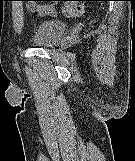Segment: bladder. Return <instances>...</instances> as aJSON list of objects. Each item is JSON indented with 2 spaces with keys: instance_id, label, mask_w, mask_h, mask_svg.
<instances>
[{
  "instance_id": "bladder-1",
  "label": "bladder",
  "mask_w": 135,
  "mask_h": 161,
  "mask_svg": "<svg viewBox=\"0 0 135 161\" xmlns=\"http://www.w3.org/2000/svg\"><path fill=\"white\" fill-rule=\"evenodd\" d=\"M65 30L63 21L46 19L37 24L30 36V41L37 46H51L63 36Z\"/></svg>"
}]
</instances>
